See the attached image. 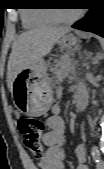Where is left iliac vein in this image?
Returning <instances> with one entry per match:
<instances>
[{
    "instance_id": "1",
    "label": "left iliac vein",
    "mask_w": 104,
    "mask_h": 169,
    "mask_svg": "<svg viewBox=\"0 0 104 169\" xmlns=\"http://www.w3.org/2000/svg\"><path fill=\"white\" fill-rule=\"evenodd\" d=\"M96 167H97V169H104V163H103V161H99L97 164H96Z\"/></svg>"
}]
</instances>
